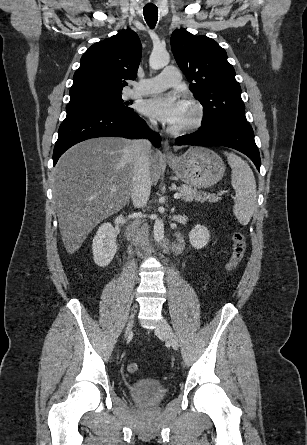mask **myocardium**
<instances>
[{
	"label": "myocardium",
	"mask_w": 307,
	"mask_h": 445,
	"mask_svg": "<svg viewBox=\"0 0 307 445\" xmlns=\"http://www.w3.org/2000/svg\"><path fill=\"white\" fill-rule=\"evenodd\" d=\"M192 110L193 116L186 123L180 126H171L170 131L176 134H186L200 128L206 120L207 111L204 105L196 99H191L187 102Z\"/></svg>",
	"instance_id": "myocardium-1"
}]
</instances>
